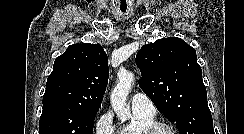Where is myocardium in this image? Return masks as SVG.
Instances as JSON below:
<instances>
[{
    "instance_id": "1",
    "label": "myocardium",
    "mask_w": 244,
    "mask_h": 134,
    "mask_svg": "<svg viewBox=\"0 0 244 134\" xmlns=\"http://www.w3.org/2000/svg\"><path fill=\"white\" fill-rule=\"evenodd\" d=\"M160 129H166L171 134H179L177 130L169 123L166 122H157L154 121L153 123L147 125L143 130L141 134H156L158 130Z\"/></svg>"
}]
</instances>
